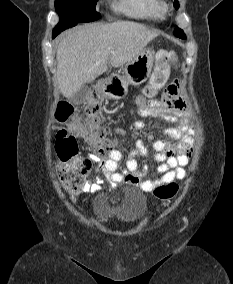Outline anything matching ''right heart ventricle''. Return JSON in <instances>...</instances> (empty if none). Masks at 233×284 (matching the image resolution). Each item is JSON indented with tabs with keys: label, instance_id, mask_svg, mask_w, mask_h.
I'll return each mask as SVG.
<instances>
[{
	"label": "right heart ventricle",
	"instance_id": "right-heart-ventricle-1",
	"mask_svg": "<svg viewBox=\"0 0 233 284\" xmlns=\"http://www.w3.org/2000/svg\"><path fill=\"white\" fill-rule=\"evenodd\" d=\"M115 8L129 17L153 21L162 19L164 11L161 0H118Z\"/></svg>",
	"mask_w": 233,
	"mask_h": 284
}]
</instances>
